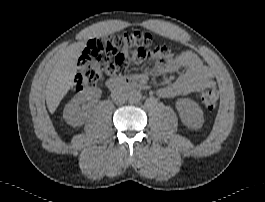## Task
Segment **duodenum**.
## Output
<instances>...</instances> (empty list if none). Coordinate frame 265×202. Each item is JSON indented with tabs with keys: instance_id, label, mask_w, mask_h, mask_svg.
I'll return each instance as SVG.
<instances>
[{
	"instance_id": "1",
	"label": "duodenum",
	"mask_w": 265,
	"mask_h": 202,
	"mask_svg": "<svg viewBox=\"0 0 265 202\" xmlns=\"http://www.w3.org/2000/svg\"><path fill=\"white\" fill-rule=\"evenodd\" d=\"M106 86L111 92H119L123 88L127 89H144L146 86L139 80L127 76H113L106 81Z\"/></svg>"
}]
</instances>
